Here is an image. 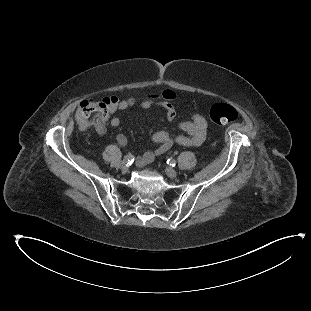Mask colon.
I'll use <instances>...</instances> for the list:
<instances>
[{"mask_svg": "<svg viewBox=\"0 0 311 311\" xmlns=\"http://www.w3.org/2000/svg\"><path fill=\"white\" fill-rule=\"evenodd\" d=\"M146 97L153 101H159L161 99L172 100L175 95L172 91L168 90L161 94H149ZM112 106L111 100L105 98L82 101L76 113V120L79 128L81 130H86L93 125H103L109 116V109H111ZM210 118L214 124L218 125L234 123L238 119V112L231 105L218 103L210 109Z\"/></svg>", "mask_w": 311, "mask_h": 311, "instance_id": "1", "label": "colon"}]
</instances>
